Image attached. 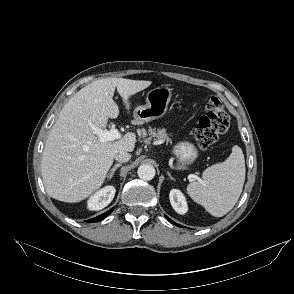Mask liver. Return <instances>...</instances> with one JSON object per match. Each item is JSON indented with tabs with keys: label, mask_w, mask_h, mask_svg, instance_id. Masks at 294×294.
<instances>
[{
	"label": "liver",
	"mask_w": 294,
	"mask_h": 294,
	"mask_svg": "<svg viewBox=\"0 0 294 294\" xmlns=\"http://www.w3.org/2000/svg\"><path fill=\"white\" fill-rule=\"evenodd\" d=\"M151 81L106 78L79 90L62 108L45 143L41 172L47 194L59 201L76 203L98 190L120 152H132L136 135L127 133L117 141L101 142L91 125L105 128L117 118L115 89L129 111V98Z\"/></svg>",
	"instance_id": "liver-1"
}]
</instances>
